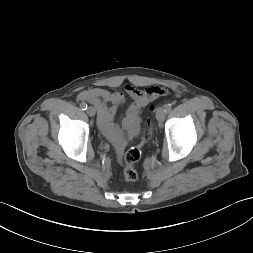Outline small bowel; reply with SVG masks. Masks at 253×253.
Masks as SVG:
<instances>
[{
    "label": "small bowel",
    "instance_id": "small-bowel-1",
    "mask_svg": "<svg viewBox=\"0 0 253 253\" xmlns=\"http://www.w3.org/2000/svg\"><path fill=\"white\" fill-rule=\"evenodd\" d=\"M159 91H163V93H159ZM126 94L132 99L122 120V127L127 136H124L122 129L114 121L118 107L126 100L124 93L112 92L103 88H91L81 91L78 95L80 101L91 103L95 107L99 128L113 143L118 154H122L124 151L128 138L137 134L141 110L150 101L164 94V90L158 87L138 89L127 86Z\"/></svg>",
    "mask_w": 253,
    "mask_h": 253
}]
</instances>
